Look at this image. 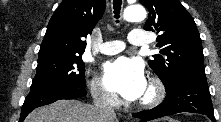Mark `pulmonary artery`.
Segmentation results:
<instances>
[{
    "instance_id": "pulmonary-artery-1",
    "label": "pulmonary artery",
    "mask_w": 221,
    "mask_h": 122,
    "mask_svg": "<svg viewBox=\"0 0 221 122\" xmlns=\"http://www.w3.org/2000/svg\"><path fill=\"white\" fill-rule=\"evenodd\" d=\"M128 42L134 46H143L148 41L145 35L140 30H132L128 34ZM125 48V43L120 40L107 41L99 47V51L106 55H113L123 51Z\"/></svg>"
}]
</instances>
